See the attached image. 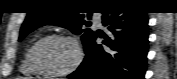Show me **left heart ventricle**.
<instances>
[{
	"label": "left heart ventricle",
	"instance_id": "obj_1",
	"mask_svg": "<svg viewBox=\"0 0 177 79\" xmlns=\"http://www.w3.org/2000/svg\"><path fill=\"white\" fill-rule=\"evenodd\" d=\"M76 58L74 45L66 40L52 39L37 51V59L42 67L50 71H61L72 65Z\"/></svg>",
	"mask_w": 177,
	"mask_h": 79
}]
</instances>
